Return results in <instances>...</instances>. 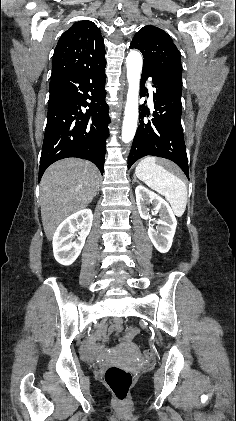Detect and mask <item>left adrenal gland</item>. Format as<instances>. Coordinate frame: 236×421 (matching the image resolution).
<instances>
[{
    "mask_svg": "<svg viewBox=\"0 0 236 421\" xmlns=\"http://www.w3.org/2000/svg\"><path fill=\"white\" fill-rule=\"evenodd\" d=\"M132 182H138V180H136V174H133V180Z\"/></svg>",
    "mask_w": 236,
    "mask_h": 421,
    "instance_id": "a2214340",
    "label": "left adrenal gland"
}]
</instances>
